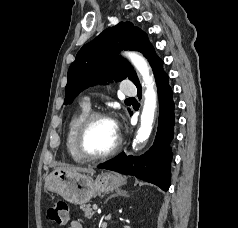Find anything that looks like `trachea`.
I'll return each mask as SVG.
<instances>
[{
    "instance_id": "obj_1",
    "label": "trachea",
    "mask_w": 238,
    "mask_h": 228,
    "mask_svg": "<svg viewBox=\"0 0 238 228\" xmlns=\"http://www.w3.org/2000/svg\"><path fill=\"white\" fill-rule=\"evenodd\" d=\"M134 98H128L127 100H133Z\"/></svg>"
}]
</instances>
